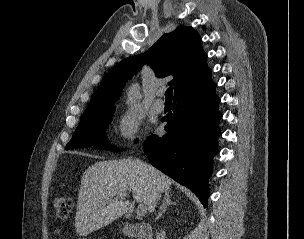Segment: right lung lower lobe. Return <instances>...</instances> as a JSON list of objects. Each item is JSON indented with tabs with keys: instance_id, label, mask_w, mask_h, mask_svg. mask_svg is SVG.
<instances>
[{
	"instance_id": "98d812e1",
	"label": "right lung lower lobe",
	"mask_w": 304,
	"mask_h": 239,
	"mask_svg": "<svg viewBox=\"0 0 304 239\" xmlns=\"http://www.w3.org/2000/svg\"><path fill=\"white\" fill-rule=\"evenodd\" d=\"M215 87L210 71L177 91L174 112L162 118V122H168L164 127L167 133L161 137L150 135L144 143L151 164L191 189L205 207L222 117Z\"/></svg>"
}]
</instances>
